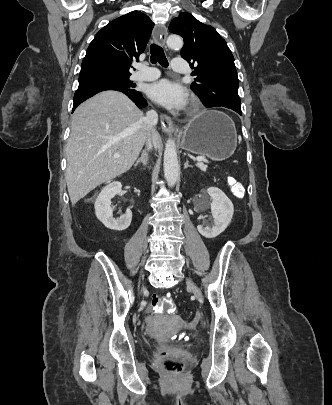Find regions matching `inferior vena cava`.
Instances as JSON below:
<instances>
[{"mask_svg":"<svg viewBox=\"0 0 332 405\" xmlns=\"http://www.w3.org/2000/svg\"><path fill=\"white\" fill-rule=\"evenodd\" d=\"M144 122L146 124L148 130V138L146 140V149H152V135L156 131V124L158 122V114L154 110H150L147 112L146 117L144 118Z\"/></svg>","mask_w":332,"mask_h":405,"instance_id":"inferior-vena-cava-1","label":"inferior vena cava"}]
</instances>
